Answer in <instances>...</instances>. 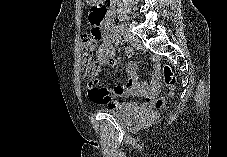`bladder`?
I'll list each match as a JSON object with an SVG mask.
<instances>
[{"mask_svg":"<svg viewBox=\"0 0 227 157\" xmlns=\"http://www.w3.org/2000/svg\"><path fill=\"white\" fill-rule=\"evenodd\" d=\"M103 112L112 115L113 117L120 120H129L136 117L137 113L134 111H127L121 109L107 108L103 109Z\"/></svg>","mask_w":227,"mask_h":157,"instance_id":"bladder-1","label":"bladder"}]
</instances>
